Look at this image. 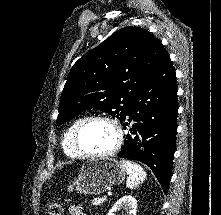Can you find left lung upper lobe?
I'll list each match as a JSON object with an SVG mask.
<instances>
[{"label":"left lung upper lobe","mask_w":221,"mask_h":215,"mask_svg":"<svg viewBox=\"0 0 221 215\" xmlns=\"http://www.w3.org/2000/svg\"><path fill=\"white\" fill-rule=\"evenodd\" d=\"M167 57L161 42L145 29L128 26L115 32L72 67L57 124L88 108L123 122L135 94Z\"/></svg>","instance_id":"5c2ea615"}]
</instances>
